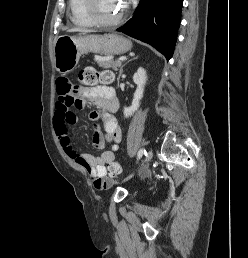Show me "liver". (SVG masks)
Listing matches in <instances>:
<instances>
[{
    "label": "liver",
    "mask_w": 248,
    "mask_h": 258,
    "mask_svg": "<svg viewBox=\"0 0 248 258\" xmlns=\"http://www.w3.org/2000/svg\"><path fill=\"white\" fill-rule=\"evenodd\" d=\"M68 31H69V32H80V33L92 32V30L84 29V28H79V27L72 28V29H70V30H68Z\"/></svg>",
    "instance_id": "6515ba94"
}]
</instances>
